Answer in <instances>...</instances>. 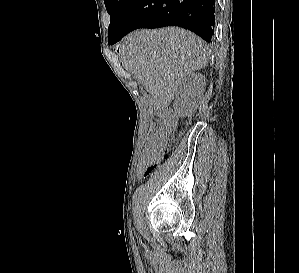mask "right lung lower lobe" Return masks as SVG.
Here are the masks:
<instances>
[{"label": "right lung lower lobe", "instance_id": "right-lung-lower-lobe-1", "mask_svg": "<svg viewBox=\"0 0 299 273\" xmlns=\"http://www.w3.org/2000/svg\"><path fill=\"white\" fill-rule=\"evenodd\" d=\"M215 0H134L110 45L138 28L179 26L208 43L215 26Z\"/></svg>", "mask_w": 299, "mask_h": 273}]
</instances>
